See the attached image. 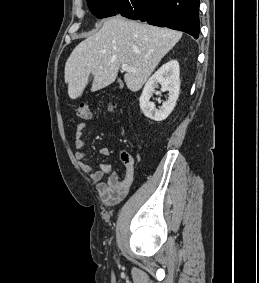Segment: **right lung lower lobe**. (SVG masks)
<instances>
[{
	"instance_id": "1",
	"label": "right lung lower lobe",
	"mask_w": 259,
	"mask_h": 283,
	"mask_svg": "<svg viewBox=\"0 0 259 283\" xmlns=\"http://www.w3.org/2000/svg\"><path fill=\"white\" fill-rule=\"evenodd\" d=\"M199 0H110L112 16L121 14L151 25L199 36Z\"/></svg>"
}]
</instances>
